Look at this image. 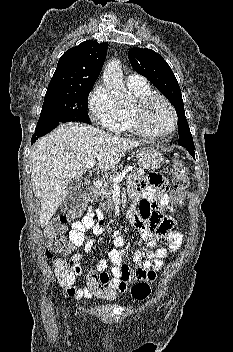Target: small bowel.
I'll use <instances>...</instances> for the list:
<instances>
[{"mask_svg": "<svg viewBox=\"0 0 233 352\" xmlns=\"http://www.w3.org/2000/svg\"><path fill=\"white\" fill-rule=\"evenodd\" d=\"M168 189V183L161 175L156 173L149 174L141 182L130 185V198L133 203L140 201V211L137 212L132 207L128 216L140 231L142 239L150 250L135 251L133 261L139 266L130 268L122 263L125 238L119 231H114L112 236L115 247L108 252L109 261L112 263L111 272L113 277L109 278L106 272L108 268L107 259H101L96 264L97 271L108 276V286L117 288L121 292H127L130 283L144 280L146 274L151 270H160L168 252H175L181 247L183 237L181 233L172 229L176 223L174 209L168 206L167 211L170 215L163 216L162 208L167 206L169 201ZM88 230H92L96 235L104 233L105 224L100 209L89 207L81 220L71 224L69 240L74 246L82 247L86 253L90 252L95 245L94 239L85 241V233ZM163 240L169 241L168 249L158 247L159 242ZM81 260L82 255L80 253L72 256V274L65 280H59V284L69 296L75 299H90L93 296L86 286L77 287L75 285V280L81 274Z\"/></svg>", "mask_w": 233, "mask_h": 352, "instance_id": "small-bowel-1", "label": "small bowel"}]
</instances>
